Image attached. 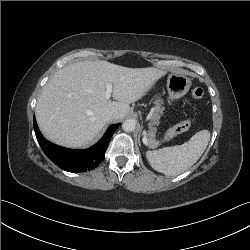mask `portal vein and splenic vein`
<instances>
[{"mask_svg": "<svg viewBox=\"0 0 250 250\" xmlns=\"http://www.w3.org/2000/svg\"><path fill=\"white\" fill-rule=\"evenodd\" d=\"M112 91H113L112 84H111V83H108V84L106 85V92H105V98H106V99H110L111 94H112Z\"/></svg>", "mask_w": 250, "mask_h": 250, "instance_id": "obj_1", "label": "portal vein and splenic vein"}]
</instances>
